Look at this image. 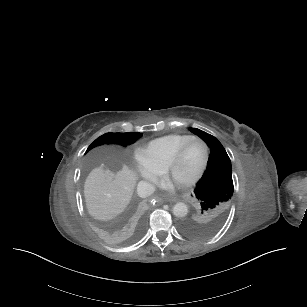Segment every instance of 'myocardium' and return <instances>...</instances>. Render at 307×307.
I'll return each instance as SVG.
<instances>
[{
	"label": "myocardium",
	"mask_w": 307,
	"mask_h": 307,
	"mask_svg": "<svg viewBox=\"0 0 307 307\" xmlns=\"http://www.w3.org/2000/svg\"><path fill=\"white\" fill-rule=\"evenodd\" d=\"M192 141H199L204 145L205 148L204 160L200 168L184 183V185H182L183 187L186 188L196 184L206 173L207 168L209 166V161H210L209 145L204 139L195 136L190 137L177 149V151L162 166L163 176L164 178L168 179L169 170L182 159L187 146Z\"/></svg>",
	"instance_id": "obj_1"
}]
</instances>
